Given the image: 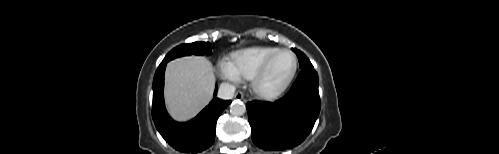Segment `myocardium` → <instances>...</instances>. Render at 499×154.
Masks as SVG:
<instances>
[{
    "label": "myocardium",
    "instance_id": "1",
    "mask_svg": "<svg viewBox=\"0 0 499 154\" xmlns=\"http://www.w3.org/2000/svg\"><path fill=\"white\" fill-rule=\"evenodd\" d=\"M281 54H288L292 59V67L285 78L273 88H265L263 86V81L273 63V61ZM297 59L293 52L287 49H279L274 52L267 60L263 63L260 69L251 78V87L253 92L260 98L271 100L279 95H281L293 80L297 71Z\"/></svg>",
    "mask_w": 499,
    "mask_h": 154
}]
</instances>
